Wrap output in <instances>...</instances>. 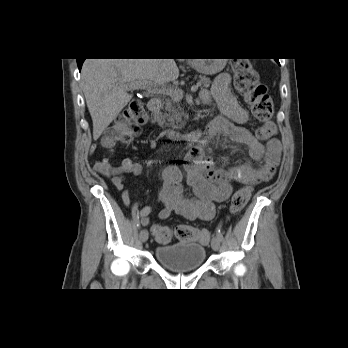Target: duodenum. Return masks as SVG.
Instances as JSON below:
<instances>
[{
    "label": "duodenum",
    "mask_w": 348,
    "mask_h": 348,
    "mask_svg": "<svg viewBox=\"0 0 348 348\" xmlns=\"http://www.w3.org/2000/svg\"><path fill=\"white\" fill-rule=\"evenodd\" d=\"M148 107L152 113H154L156 116L159 115L160 110L162 108V101L159 98H152L149 100ZM210 133V130H208ZM168 136H176L173 132H167ZM208 133L201 131V130H193L183 136L181 138L185 140L186 142H191L195 144L201 143L206 137Z\"/></svg>",
    "instance_id": "obj_1"
}]
</instances>
